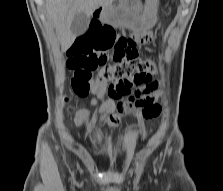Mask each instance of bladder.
<instances>
[{"mask_svg": "<svg viewBox=\"0 0 223 191\" xmlns=\"http://www.w3.org/2000/svg\"><path fill=\"white\" fill-rule=\"evenodd\" d=\"M98 153L107 156H120L122 154L121 147L118 145L100 144L98 146Z\"/></svg>", "mask_w": 223, "mask_h": 191, "instance_id": "1", "label": "bladder"}]
</instances>
